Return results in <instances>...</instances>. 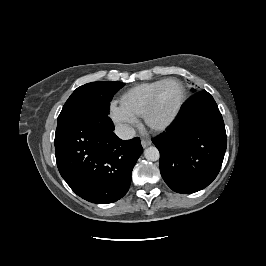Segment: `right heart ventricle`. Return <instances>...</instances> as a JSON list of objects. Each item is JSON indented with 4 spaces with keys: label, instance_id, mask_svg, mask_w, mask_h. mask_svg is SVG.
<instances>
[{
    "label": "right heart ventricle",
    "instance_id": "obj_1",
    "mask_svg": "<svg viewBox=\"0 0 266 266\" xmlns=\"http://www.w3.org/2000/svg\"><path fill=\"white\" fill-rule=\"evenodd\" d=\"M165 79L136 85L121 97V104L135 116H143L144 110L155 89Z\"/></svg>",
    "mask_w": 266,
    "mask_h": 266
}]
</instances>
